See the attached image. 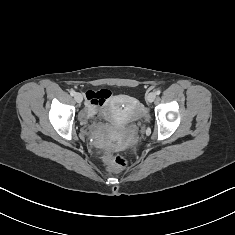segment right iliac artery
<instances>
[{"mask_svg": "<svg viewBox=\"0 0 235 235\" xmlns=\"http://www.w3.org/2000/svg\"><path fill=\"white\" fill-rule=\"evenodd\" d=\"M70 95L74 96L75 95V91L73 89L70 90Z\"/></svg>", "mask_w": 235, "mask_h": 235, "instance_id": "1", "label": "right iliac artery"}]
</instances>
